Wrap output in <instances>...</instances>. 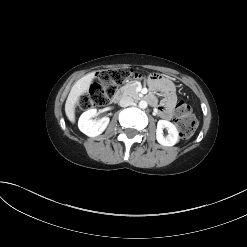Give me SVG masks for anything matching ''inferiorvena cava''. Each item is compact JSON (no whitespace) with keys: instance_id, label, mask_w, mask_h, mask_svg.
Returning <instances> with one entry per match:
<instances>
[{"instance_id":"1","label":"inferior vena cava","mask_w":247,"mask_h":247,"mask_svg":"<svg viewBox=\"0 0 247 247\" xmlns=\"http://www.w3.org/2000/svg\"><path fill=\"white\" fill-rule=\"evenodd\" d=\"M133 102H134V100L132 99V97L124 95V96H122V98L120 99L119 105H120L121 107H127V106L132 105Z\"/></svg>"}]
</instances>
